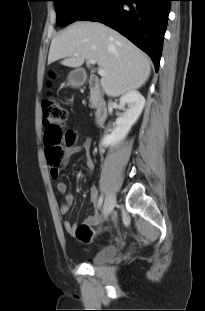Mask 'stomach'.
Segmentation results:
<instances>
[{
	"instance_id": "obj_1",
	"label": "stomach",
	"mask_w": 205,
	"mask_h": 311,
	"mask_svg": "<svg viewBox=\"0 0 205 311\" xmlns=\"http://www.w3.org/2000/svg\"><path fill=\"white\" fill-rule=\"evenodd\" d=\"M68 80L70 83H72L74 85H80L83 83L84 78H83V76L79 75V73L77 71H74V72L70 73Z\"/></svg>"
}]
</instances>
